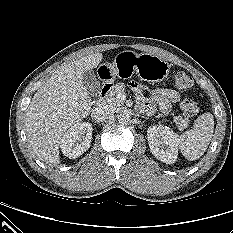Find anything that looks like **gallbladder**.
<instances>
[{"instance_id": "1", "label": "gallbladder", "mask_w": 233, "mask_h": 233, "mask_svg": "<svg viewBox=\"0 0 233 233\" xmlns=\"http://www.w3.org/2000/svg\"><path fill=\"white\" fill-rule=\"evenodd\" d=\"M82 82L88 89L91 95H97L100 91V82L96 74L92 70L85 71L83 73Z\"/></svg>"}]
</instances>
